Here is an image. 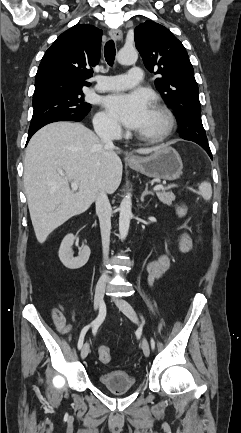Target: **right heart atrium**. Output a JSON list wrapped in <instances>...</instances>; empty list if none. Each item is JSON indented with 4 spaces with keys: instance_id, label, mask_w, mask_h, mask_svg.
I'll return each mask as SVG.
<instances>
[{
    "instance_id": "1",
    "label": "right heart atrium",
    "mask_w": 241,
    "mask_h": 433,
    "mask_svg": "<svg viewBox=\"0 0 241 433\" xmlns=\"http://www.w3.org/2000/svg\"><path fill=\"white\" fill-rule=\"evenodd\" d=\"M95 129L102 134L117 136L121 132L120 126L107 113L99 112L94 119Z\"/></svg>"
}]
</instances>
